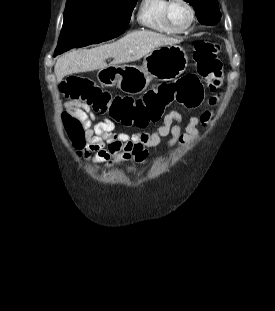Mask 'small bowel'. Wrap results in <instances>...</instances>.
<instances>
[{"label":"small bowel","mask_w":275,"mask_h":311,"mask_svg":"<svg viewBox=\"0 0 275 311\" xmlns=\"http://www.w3.org/2000/svg\"><path fill=\"white\" fill-rule=\"evenodd\" d=\"M222 84V74L208 79L209 88L214 91ZM217 98L210 99V103L217 102ZM68 113L77 117L85 129L87 145L81 156L91 162L95 169L101 164L105 168L114 163L134 158L137 162H147L149 154L147 149L161 144L163 138L169 137L166 142V150L171 151L177 145L192 140L198 135V126L211 119V112H202L201 117H191L185 130L181 124L183 117L178 110L169 111L164 117L162 124L153 132H137L129 134L114 130L113 121L108 119L96 121L90 111V106L83 103L68 101L65 103ZM209 111V108H206Z\"/></svg>","instance_id":"small-bowel-1"}]
</instances>
